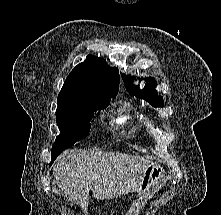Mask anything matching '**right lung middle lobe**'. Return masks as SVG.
Wrapping results in <instances>:
<instances>
[{
  "label": "right lung middle lobe",
  "instance_id": "1",
  "mask_svg": "<svg viewBox=\"0 0 221 215\" xmlns=\"http://www.w3.org/2000/svg\"><path fill=\"white\" fill-rule=\"evenodd\" d=\"M109 102L110 98L81 105L57 107L56 122L60 135L56 137L52 146V162L65 149L72 147L77 141L88 135L94 113L106 108Z\"/></svg>",
  "mask_w": 221,
  "mask_h": 215
}]
</instances>
